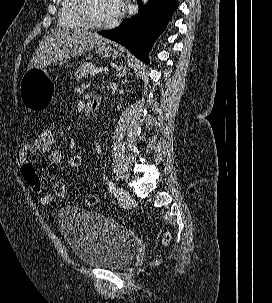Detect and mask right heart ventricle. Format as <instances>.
I'll return each mask as SVG.
<instances>
[{
    "mask_svg": "<svg viewBox=\"0 0 272 303\" xmlns=\"http://www.w3.org/2000/svg\"><path fill=\"white\" fill-rule=\"evenodd\" d=\"M78 0H61L58 24L63 28L80 29L85 24L77 14Z\"/></svg>",
    "mask_w": 272,
    "mask_h": 303,
    "instance_id": "obj_1",
    "label": "right heart ventricle"
}]
</instances>
